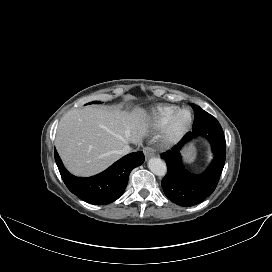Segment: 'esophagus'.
I'll return each instance as SVG.
<instances>
[{
	"label": "esophagus",
	"mask_w": 272,
	"mask_h": 272,
	"mask_svg": "<svg viewBox=\"0 0 272 272\" xmlns=\"http://www.w3.org/2000/svg\"><path fill=\"white\" fill-rule=\"evenodd\" d=\"M143 151H144L146 159H149L155 155L154 150L149 146L144 147Z\"/></svg>",
	"instance_id": "obj_1"
}]
</instances>
